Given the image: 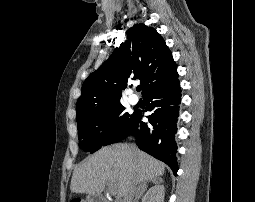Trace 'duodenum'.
<instances>
[{"mask_svg": "<svg viewBox=\"0 0 255 202\" xmlns=\"http://www.w3.org/2000/svg\"><path fill=\"white\" fill-rule=\"evenodd\" d=\"M89 202H107L106 199L98 194H91L89 196Z\"/></svg>", "mask_w": 255, "mask_h": 202, "instance_id": "duodenum-1", "label": "duodenum"}]
</instances>
